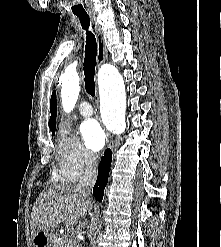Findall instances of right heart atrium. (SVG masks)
Listing matches in <instances>:
<instances>
[{
    "label": "right heart atrium",
    "mask_w": 221,
    "mask_h": 247,
    "mask_svg": "<svg viewBox=\"0 0 221 247\" xmlns=\"http://www.w3.org/2000/svg\"><path fill=\"white\" fill-rule=\"evenodd\" d=\"M94 155L70 131L62 129L57 143V167L55 176L59 181L74 182L87 172Z\"/></svg>",
    "instance_id": "d8ad5b80"
}]
</instances>
